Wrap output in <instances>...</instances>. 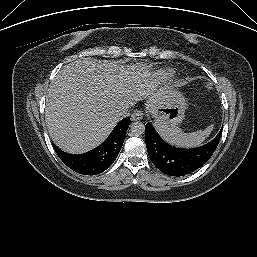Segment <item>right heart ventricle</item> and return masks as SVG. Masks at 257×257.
Here are the masks:
<instances>
[{
  "instance_id": "1",
  "label": "right heart ventricle",
  "mask_w": 257,
  "mask_h": 257,
  "mask_svg": "<svg viewBox=\"0 0 257 257\" xmlns=\"http://www.w3.org/2000/svg\"><path fill=\"white\" fill-rule=\"evenodd\" d=\"M161 75H162L163 78H169L173 75V70L172 69L163 70L161 72Z\"/></svg>"
}]
</instances>
